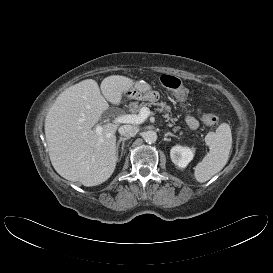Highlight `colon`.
I'll list each match as a JSON object with an SVG mask.
<instances>
[{
    "mask_svg": "<svg viewBox=\"0 0 273 273\" xmlns=\"http://www.w3.org/2000/svg\"><path fill=\"white\" fill-rule=\"evenodd\" d=\"M161 82L164 87L172 91L176 97L180 100H184L186 97V90L181 81L172 75H163ZM202 120L207 125H216L219 122V118L214 114H205Z\"/></svg>",
    "mask_w": 273,
    "mask_h": 273,
    "instance_id": "5ec220e1",
    "label": "colon"
}]
</instances>
